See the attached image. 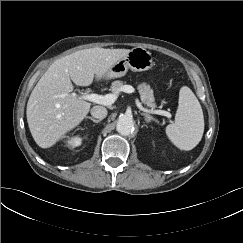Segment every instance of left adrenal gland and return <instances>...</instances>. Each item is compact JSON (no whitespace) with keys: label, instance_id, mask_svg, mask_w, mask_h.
Instances as JSON below:
<instances>
[{"label":"left adrenal gland","instance_id":"1","mask_svg":"<svg viewBox=\"0 0 243 243\" xmlns=\"http://www.w3.org/2000/svg\"><path fill=\"white\" fill-rule=\"evenodd\" d=\"M141 115L145 117L147 123H149L151 121H155L156 122V119L153 116H151V115H149L147 113H141Z\"/></svg>","mask_w":243,"mask_h":243}]
</instances>
